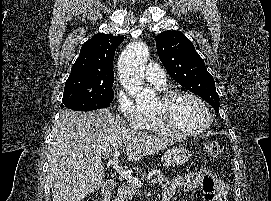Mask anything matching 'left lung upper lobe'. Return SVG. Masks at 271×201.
<instances>
[{"label": "left lung upper lobe", "instance_id": "1", "mask_svg": "<svg viewBox=\"0 0 271 201\" xmlns=\"http://www.w3.org/2000/svg\"><path fill=\"white\" fill-rule=\"evenodd\" d=\"M158 56L170 76L208 102L216 112L219 95L213 77L192 42L179 31H165L155 37Z\"/></svg>", "mask_w": 271, "mask_h": 201}]
</instances>
